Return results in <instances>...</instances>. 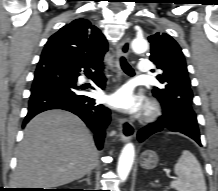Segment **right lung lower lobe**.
I'll return each mask as SVG.
<instances>
[{
  "instance_id": "obj_1",
  "label": "right lung lower lobe",
  "mask_w": 218,
  "mask_h": 191,
  "mask_svg": "<svg viewBox=\"0 0 218 191\" xmlns=\"http://www.w3.org/2000/svg\"><path fill=\"white\" fill-rule=\"evenodd\" d=\"M94 70L95 72H92ZM103 59L78 60L56 52L43 53L35 71L28 113L23 127L35 115L51 109H62L78 115L95 133L98 149H102L110 111L94 98L81 93L77 77L92 76L95 84L104 89L106 78L101 76Z\"/></svg>"
}]
</instances>
